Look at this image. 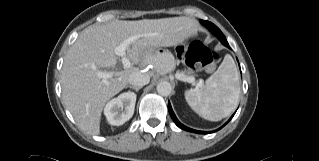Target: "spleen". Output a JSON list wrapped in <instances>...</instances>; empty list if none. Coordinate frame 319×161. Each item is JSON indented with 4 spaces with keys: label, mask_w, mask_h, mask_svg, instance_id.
<instances>
[{
    "label": "spleen",
    "mask_w": 319,
    "mask_h": 161,
    "mask_svg": "<svg viewBox=\"0 0 319 161\" xmlns=\"http://www.w3.org/2000/svg\"><path fill=\"white\" fill-rule=\"evenodd\" d=\"M184 95L192 110L206 120L220 121L229 116L240 97L238 71L233 58L226 55L205 84L186 90Z\"/></svg>",
    "instance_id": "spleen-1"
}]
</instances>
